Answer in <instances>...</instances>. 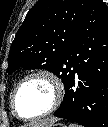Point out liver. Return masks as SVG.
<instances>
[{
	"mask_svg": "<svg viewBox=\"0 0 108 127\" xmlns=\"http://www.w3.org/2000/svg\"><path fill=\"white\" fill-rule=\"evenodd\" d=\"M57 121V118H47L45 120H40V121H37V122H33L29 125H26L24 127H37V126H48L54 122Z\"/></svg>",
	"mask_w": 108,
	"mask_h": 127,
	"instance_id": "liver-1",
	"label": "liver"
}]
</instances>
